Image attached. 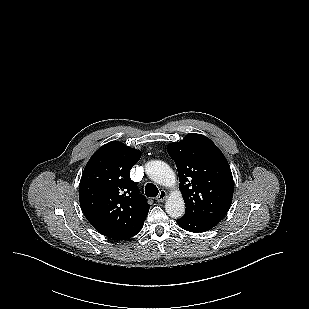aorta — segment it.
Returning a JSON list of instances; mask_svg holds the SVG:
<instances>
[{
  "instance_id": "1",
  "label": "aorta",
  "mask_w": 309,
  "mask_h": 309,
  "mask_svg": "<svg viewBox=\"0 0 309 309\" xmlns=\"http://www.w3.org/2000/svg\"><path fill=\"white\" fill-rule=\"evenodd\" d=\"M147 176L159 185L173 187L176 185V176L173 170L163 161L152 160L145 165ZM165 210L172 218H180L185 213V203L181 192L175 191L168 197Z\"/></svg>"
}]
</instances>
